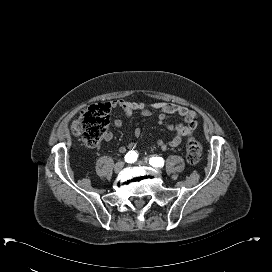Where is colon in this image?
I'll return each mask as SVG.
<instances>
[{
    "instance_id": "obj_1",
    "label": "colon",
    "mask_w": 272,
    "mask_h": 272,
    "mask_svg": "<svg viewBox=\"0 0 272 272\" xmlns=\"http://www.w3.org/2000/svg\"><path fill=\"white\" fill-rule=\"evenodd\" d=\"M110 107L108 102H99L81 111L71 125L72 134L81 138L86 145L96 146L109 126ZM185 155L187 162L191 165H196L201 161V145L195 138L187 141Z\"/></svg>"
}]
</instances>
